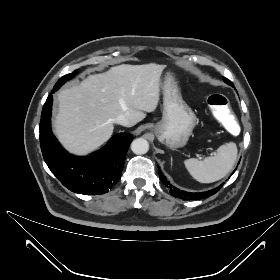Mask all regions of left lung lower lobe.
I'll return each mask as SVG.
<instances>
[{
	"instance_id": "obj_1",
	"label": "left lung lower lobe",
	"mask_w": 280,
	"mask_h": 280,
	"mask_svg": "<svg viewBox=\"0 0 280 280\" xmlns=\"http://www.w3.org/2000/svg\"><path fill=\"white\" fill-rule=\"evenodd\" d=\"M158 173H159L161 181L166 185V187H168V182L166 181V178L163 176V174L161 173V170L159 168H158ZM222 186H223V184H221L217 188H214L207 192H201V193L185 192V191L179 190L175 187H172L171 185L169 186V188H170V194L176 198H180L183 200H199V199L207 198V197L214 195L216 192H218L221 189Z\"/></svg>"
}]
</instances>
